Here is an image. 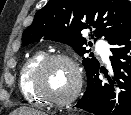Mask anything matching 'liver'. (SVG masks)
<instances>
[{
  "label": "liver",
  "instance_id": "liver-1",
  "mask_svg": "<svg viewBox=\"0 0 131 115\" xmlns=\"http://www.w3.org/2000/svg\"><path fill=\"white\" fill-rule=\"evenodd\" d=\"M12 115H45V113H42L35 109L22 107L13 111Z\"/></svg>",
  "mask_w": 131,
  "mask_h": 115
}]
</instances>
